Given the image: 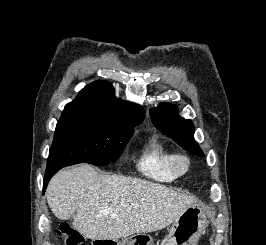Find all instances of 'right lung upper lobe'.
<instances>
[{
  "label": "right lung upper lobe",
  "mask_w": 266,
  "mask_h": 245,
  "mask_svg": "<svg viewBox=\"0 0 266 245\" xmlns=\"http://www.w3.org/2000/svg\"><path fill=\"white\" fill-rule=\"evenodd\" d=\"M76 114L96 115L118 123L137 125L145 116L141 106L116 99L113 86L107 81L89 84L62 112V116Z\"/></svg>",
  "instance_id": "right-lung-upper-lobe-1"
}]
</instances>
